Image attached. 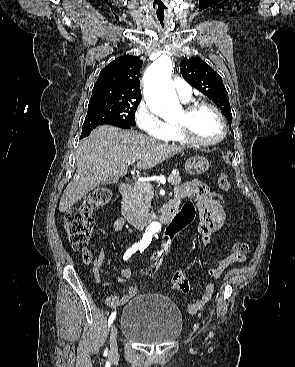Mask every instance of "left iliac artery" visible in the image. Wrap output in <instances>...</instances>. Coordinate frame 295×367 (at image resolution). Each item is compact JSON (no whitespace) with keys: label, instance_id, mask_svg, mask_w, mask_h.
<instances>
[{"label":"left iliac artery","instance_id":"left-iliac-artery-1","mask_svg":"<svg viewBox=\"0 0 295 367\" xmlns=\"http://www.w3.org/2000/svg\"><path fill=\"white\" fill-rule=\"evenodd\" d=\"M145 250V247H142L141 249H140V252H143Z\"/></svg>","mask_w":295,"mask_h":367}]
</instances>
